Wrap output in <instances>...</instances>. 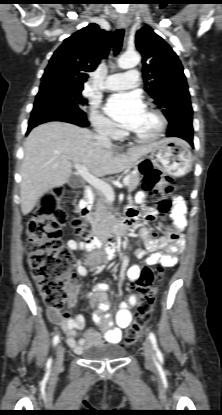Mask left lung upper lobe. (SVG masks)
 <instances>
[{"mask_svg":"<svg viewBox=\"0 0 222 415\" xmlns=\"http://www.w3.org/2000/svg\"><path fill=\"white\" fill-rule=\"evenodd\" d=\"M136 47L142 55L144 89L169 123L192 114L184 69L172 48L149 26L138 30Z\"/></svg>","mask_w":222,"mask_h":415,"instance_id":"1","label":"left lung upper lobe"}]
</instances>
